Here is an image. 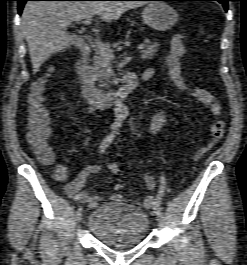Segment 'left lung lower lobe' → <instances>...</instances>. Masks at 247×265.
I'll use <instances>...</instances> for the list:
<instances>
[{
    "mask_svg": "<svg viewBox=\"0 0 247 265\" xmlns=\"http://www.w3.org/2000/svg\"><path fill=\"white\" fill-rule=\"evenodd\" d=\"M141 1H184V0H141ZM193 1H218L223 5L225 11H227L228 1H231V0H193Z\"/></svg>",
    "mask_w": 247,
    "mask_h": 265,
    "instance_id": "0a47b994",
    "label": "left lung lower lobe"
}]
</instances>
